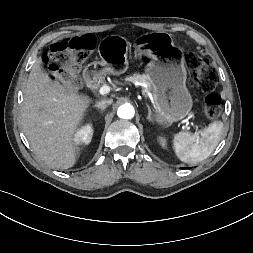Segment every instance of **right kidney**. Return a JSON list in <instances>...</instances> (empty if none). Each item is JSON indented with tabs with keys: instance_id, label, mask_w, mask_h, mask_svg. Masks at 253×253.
I'll list each match as a JSON object with an SVG mask.
<instances>
[{
	"instance_id": "right-kidney-1",
	"label": "right kidney",
	"mask_w": 253,
	"mask_h": 253,
	"mask_svg": "<svg viewBox=\"0 0 253 253\" xmlns=\"http://www.w3.org/2000/svg\"><path fill=\"white\" fill-rule=\"evenodd\" d=\"M93 129L90 124L83 126L75 134V141L79 143L88 144L91 141Z\"/></svg>"
}]
</instances>
